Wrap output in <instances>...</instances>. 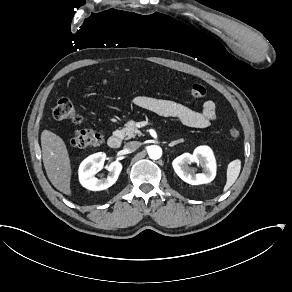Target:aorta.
<instances>
[{
  "label": "aorta",
  "instance_id": "obj_1",
  "mask_svg": "<svg viewBox=\"0 0 292 292\" xmlns=\"http://www.w3.org/2000/svg\"><path fill=\"white\" fill-rule=\"evenodd\" d=\"M148 154L152 160H158L162 156V149L159 146H150L148 148Z\"/></svg>",
  "mask_w": 292,
  "mask_h": 292
}]
</instances>
